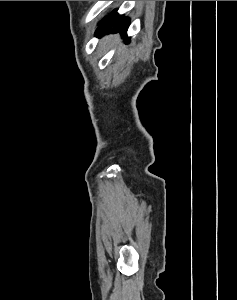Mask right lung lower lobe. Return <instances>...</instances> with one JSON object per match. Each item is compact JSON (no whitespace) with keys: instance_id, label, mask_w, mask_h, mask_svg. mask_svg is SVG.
I'll return each instance as SVG.
<instances>
[{"instance_id":"1","label":"right lung lower lobe","mask_w":237,"mask_h":300,"mask_svg":"<svg viewBox=\"0 0 237 300\" xmlns=\"http://www.w3.org/2000/svg\"><path fill=\"white\" fill-rule=\"evenodd\" d=\"M129 19L118 15L116 10L112 11L99 25L96 34H107L120 32L125 35L129 26Z\"/></svg>"}]
</instances>
